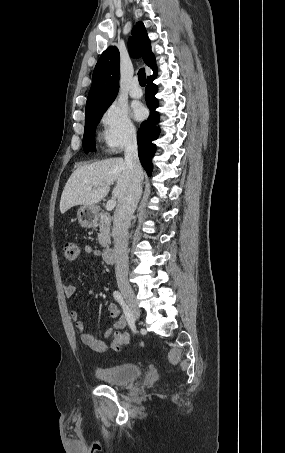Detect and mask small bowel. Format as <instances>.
<instances>
[{
  "label": "small bowel",
  "mask_w": 285,
  "mask_h": 453,
  "mask_svg": "<svg viewBox=\"0 0 285 453\" xmlns=\"http://www.w3.org/2000/svg\"><path fill=\"white\" fill-rule=\"evenodd\" d=\"M83 253L87 256L98 255V251L91 246H85ZM64 294L66 297H72L75 293V286L73 284V273H70L67 277L66 282L63 286ZM94 291H90V295H93ZM108 310L110 315L115 319V323L111 328H108L104 332V337L109 338L118 330L125 328L127 325L126 316H124L118 309L114 302L108 304ZM71 319L75 322L76 331L80 334L82 343L88 347V349L95 353H104L108 350L109 344L102 340L95 339L94 335L85 330L84 323L80 320L79 312L72 310L70 313Z\"/></svg>",
  "instance_id": "1"
}]
</instances>
